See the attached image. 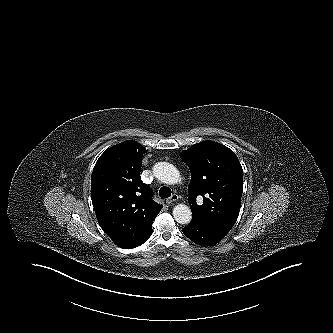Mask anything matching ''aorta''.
<instances>
[{"label": "aorta", "instance_id": "aorta-1", "mask_svg": "<svg viewBox=\"0 0 333 333\" xmlns=\"http://www.w3.org/2000/svg\"><path fill=\"white\" fill-rule=\"evenodd\" d=\"M154 176L163 183L172 185L178 182L180 173L175 166L167 162H158L153 167ZM173 217L177 223L188 224L192 212L185 204H178L173 209Z\"/></svg>", "mask_w": 333, "mask_h": 333}]
</instances>
